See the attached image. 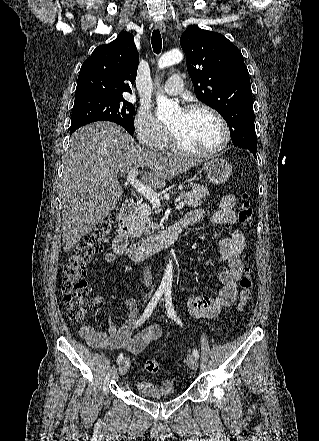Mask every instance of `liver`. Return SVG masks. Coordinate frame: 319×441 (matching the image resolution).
I'll list each match as a JSON object with an SVG mask.
<instances>
[{"label": "liver", "instance_id": "6515ba94", "mask_svg": "<svg viewBox=\"0 0 319 441\" xmlns=\"http://www.w3.org/2000/svg\"><path fill=\"white\" fill-rule=\"evenodd\" d=\"M199 163L148 151L115 123L98 121L79 128L70 138L60 185L63 250L70 251L117 207L123 193L119 172L146 167L152 172H142V180L157 189Z\"/></svg>", "mask_w": 319, "mask_h": 441}]
</instances>
